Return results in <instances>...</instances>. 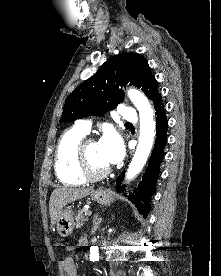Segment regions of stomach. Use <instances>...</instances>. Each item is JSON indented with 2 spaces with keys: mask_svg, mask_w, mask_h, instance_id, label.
Wrapping results in <instances>:
<instances>
[{
  "mask_svg": "<svg viewBox=\"0 0 221 276\" xmlns=\"http://www.w3.org/2000/svg\"><path fill=\"white\" fill-rule=\"evenodd\" d=\"M92 199L101 205H108L114 200L111 191L99 189L91 194ZM56 229L61 237H67L72 234L74 229L73 211L71 207L62 210L60 217L56 222Z\"/></svg>",
  "mask_w": 221,
  "mask_h": 276,
  "instance_id": "0dacf381",
  "label": "stomach"
}]
</instances>
